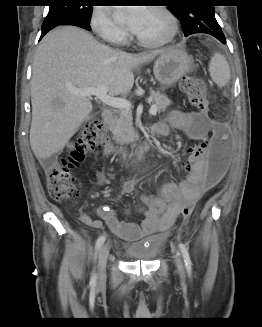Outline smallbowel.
Returning a JSON list of instances; mask_svg holds the SVG:
<instances>
[{
    "label": "small bowel",
    "mask_w": 262,
    "mask_h": 327,
    "mask_svg": "<svg viewBox=\"0 0 262 327\" xmlns=\"http://www.w3.org/2000/svg\"><path fill=\"white\" fill-rule=\"evenodd\" d=\"M214 124L207 113L202 112H174L169 118V125L184 132L191 140L207 141L213 135ZM155 132L159 135H166L169 126L165 123L154 125ZM188 159H177L176 165L180 170H185L187 178L180 182L164 183L159 194L153 195L149 192L141 196L140 203L136 207V213L142 216L141 223L120 221L113 209L108 206H101L97 209L99 219H93L89 214L82 213L81 220L86 225L100 230L104 224L117 237L124 240H135L145 235L167 230L173 224L175 218L181 214V207L187 200L196 201L206 191L208 185H204V174L206 165L204 162L196 164V160H204V153H188ZM193 166H195L193 168ZM98 184L105 182L102 173L96 174ZM134 184L126 182L123 191L132 192Z\"/></svg>",
    "instance_id": "small-bowel-1"
}]
</instances>
